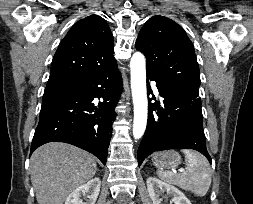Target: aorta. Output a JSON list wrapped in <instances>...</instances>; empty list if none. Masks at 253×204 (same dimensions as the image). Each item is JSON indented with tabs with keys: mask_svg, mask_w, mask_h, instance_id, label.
Returning <instances> with one entry per match:
<instances>
[{
	"mask_svg": "<svg viewBox=\"0 0 253 204\" xmlns=\"http://www.w3.org/2000/svg\"><path fill=\"white\" fill-rule=\"evenodd\" d=\"M131 89L134 104L133 136L139 139L147 124L148 101L146 91V61L140 52H135L130 62Z\"/></svg>",
	"mask_w": 253,
	"mask_h": 204,
	"instance_id": "1",
	"label": "aorta"
}]
</instances>
